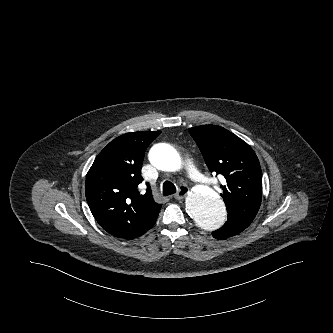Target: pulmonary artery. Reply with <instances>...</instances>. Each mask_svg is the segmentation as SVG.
Masks as SVG:
<instances>
[{
    "label": "pulmonary artery",
    "mask_w": 333,
    "mask_h": 333,
    "mask_svg": "<svg viewBox=\"0 0 333 333\" xmlns=\"http://www.w3.org/2000/svg\"><path fill=\"white\" fill-rule=\"evenodd\" d=\"M185 169L189 178L199 185H208L206 178L199 172L191 159L185 161Z\"/></svg>",
    "instance_id": "e3ab8cb5"
}]
</instances>
